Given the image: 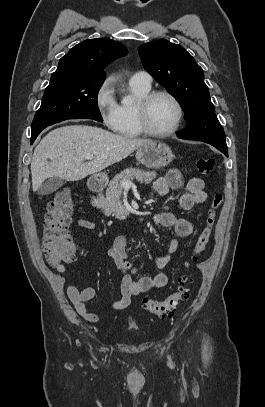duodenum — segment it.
<instances>
[{
  "label": "duodenum",
  "mask_w": 265,
  "mask_h": 407,
  "mask_svg": "<svg viewBox=\"0 0 265 407\" xmlns=\"http://www.w3.org/2000/svg\"><path fill=\"white\" fill-rule=\"evenodd\" d=\"M89 188L91 189V191H93L95 193H99V192H101L103 190L104 183L101 182L100 180L96 179V178H92L89 181Z\"/></svg>",
  "instance_id": "1"
}]
</instances>
